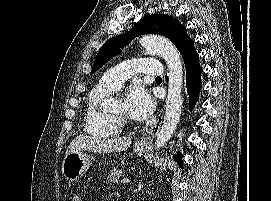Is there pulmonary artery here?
I'll return each mask as SVG.
<instances>
[{"mask_svg":"<svg viewBox=\"0 0 271 201\" xmlns=\"http://www.w3.org/2000/svg\"><path fill=\"white\" fill-rule=\"evenodd\" d=\"M137 73L158 76L163 73V67L156 58L130 59L108 70L102 76L100 84L104 87L115 89Z\"/></svg>","mask_w":271,"mask_h":201,"instance_id":"obj_1","label":"pulmonary artery"}]
</instances>
